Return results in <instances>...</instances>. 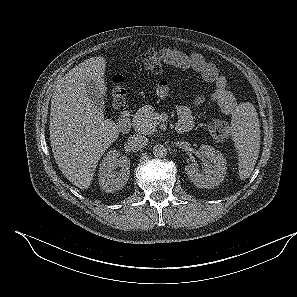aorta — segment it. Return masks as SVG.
Segmentation results:
<instances>
[{"label":"aorta","mask_w":297,"mask_h":297,"mask_svg":"<svg viewBox=\"0 0 297 297\" xmlns=\"http://www.w3.org/2000/svg\"><path fill=\"white\" fill-rule=\"evenodd\" d=\"M153 155L156 158H164L167 155V148L163 144H157L153 147Z\"/></svg>","instance_id":"762f6f07"}]
</instances>
